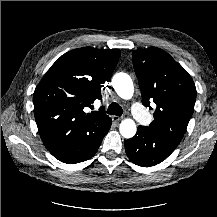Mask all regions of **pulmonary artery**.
<instances>
[{
    "mask_svg": "<svg viewBox=\"0 0 217 217\" xmlns=\"http://www.w3.org/2000/svg\"><path fill=\"white\" fill-rule=\"evenodd\" d=\"M132 109H133V110L135 109V105L132 106Z\"/></svg>",
    "mask_w": 217,
    "mask_h": 217,
    "instance_id": "e3ab8cb5",
    "label": "pulmonary artery"
}]
</instances>
